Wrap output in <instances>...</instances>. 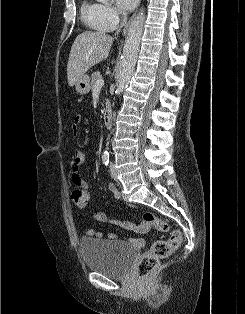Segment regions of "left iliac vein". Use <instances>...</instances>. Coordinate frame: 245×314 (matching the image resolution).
<instances>
[{"label":"left iliac vein","mask_w":245,"mask_h":314,"mask_svg":"<svg viewBox=\"0 0 245 314\" xmlns=\"http://www.w3.org/2000/svg\"><path fill=\"white\" fill-rule=\"evenodd\" d=\"M110 175L111 177L116 180L117 179V173H116V170H115V167H114V164L111 163L110 165Z\"/></svg>","instance_id":"4c4485c4"}]
</instances>
